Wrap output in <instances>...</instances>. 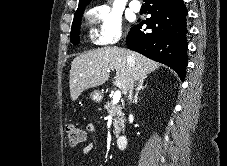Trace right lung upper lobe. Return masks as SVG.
Here are the masks:
<instances>
[{
	"mask_svg": "<svg viewBox=\"0 0 227 166\" xmlns=\"http://www.w3.org/2000/svg\"><path fill=\"white\" fill-rule=\"evenodd\" d=\"M91 0H79L78 9L84 8L90 3ZM145 1V0H144Z\"/></svg>",
	"mask_w": 227,
	"mask_h": 166,
	"instance_id": "cb5924a9",
	"label": "right lung upper lobe"
}]
</instances>
